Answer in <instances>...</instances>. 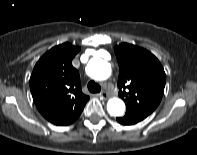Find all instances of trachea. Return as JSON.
Segmentation results:
<instances>
[{"instance_id": "obj_1", "label": "trachea", "mask_w": 197, "mask_h": 155, "mask_svg": "<svg viewBox=\"0 0 197 155\" xmlns=\"http://www.w3.org/2000/svg\"><path fill=\"white\" fill-rule=\"evenodd\" d=\"M88 90L91 92V93H99L101 91V86L94 82V81H90L88 83Z\"/></svg>"}]
</instances>
